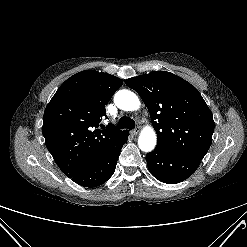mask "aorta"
I'll return each mask as SVG.
<instances>
[{"label": "aorta", "mask_w": 247, "mask_h": 247, "mask_svg": "<svg viewBox=\"0 0 247 247\" xmlns=\"http://www.w3.org/2000/svg\"><path fill=\"white\" fill-rule=\"evenodd\" d=\"M116 106L124 111H135L140 108L138 96L130 90H120L114 96ZM157 142V136L152 127L142 130L138 138V146L144 152L152 151Z\"/></svg>", "instance_id": "obj_1"}]
</instances>
